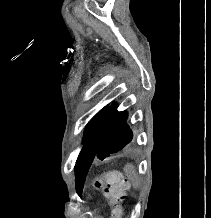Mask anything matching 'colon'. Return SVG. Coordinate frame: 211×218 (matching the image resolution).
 <instances>
[{
	"label": "colon",
	"instance_id": "obj_1",
	"mask_svg": "<svg viewBox=\"0 0 211 218\" xmlns=\"http://www.w3.org/2000/svg\"><path fill=\"white\" fill-rule=\"evenodd\" d=\"M95 188L103 189L111 206L110 218H120L122 214V201L128 191V183L118 170H109L95 179Z\"/></svg>",
	"mask_w": 211,
	"mask_h": 218
}]
</instances>
